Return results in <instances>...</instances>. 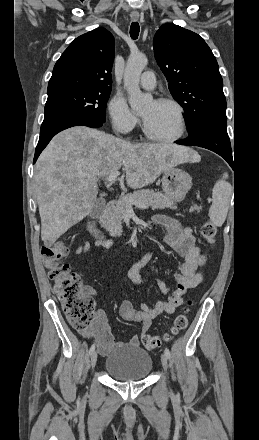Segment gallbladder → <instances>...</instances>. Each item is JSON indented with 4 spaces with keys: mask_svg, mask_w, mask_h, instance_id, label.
I'll return each mask as SVG.
<instances>
[{
    "mask_svg": "<svg viewBox=\"0 0 259 440\" xmlns=\"http://www.w3.org/2000/svg\"><path fill=\"white\" fill-rule=\"evenodd\" d=\"M104 209V204L101 200H97L93 209L90 212L92 218H98Z\"/></svg>",
    "mask_w": 259,
    "mask_h": 440,
    "instance_id": "bac80fb5",
    "label": "gallbladder"
}]
</instances>
